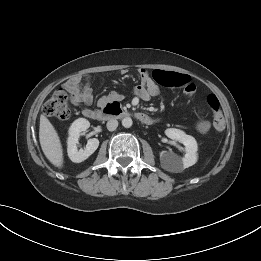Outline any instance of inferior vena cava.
Returning <instances> with one entry per match:
<instances>
[{"instance_id":"obj_1","label":"inferior vena cava","mask_w":261,"mask_h":261,"mask_svg":"<svg viewBox=\"0 0 261 261\" xmlns=\"http://www.w3.org/2000/svg\"><path fill=\"white\" fill-rule=\"evenodd\" d=\"M118 127V121L116 119H110L107 122V129L109 131H114Z\"/></svg>"}]
</instances>
